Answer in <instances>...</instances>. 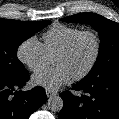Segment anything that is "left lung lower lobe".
Instances as JSON below:
<instances>
[{"mask_svg":"<svg viewBox=\"0 0 119 119\" xmlns=\"http://www.w3.org/2000/svg\"><path fill=\"white\" fill-rule=\"evenodd\" d=\"M72 88L83 94H60L64 106L59 119H119V77L81 80Z\"/></svg>","mask_w":119,"mask_h":119,"instance_id":"1","label":"left lung lower lobe"}]
</instances>
